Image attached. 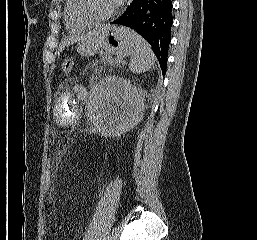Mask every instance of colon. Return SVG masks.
<instances>
[{"label":"colon","mask_w":257,"mask_h":240,"mask_svg":"<svg viewBox=\"0 0 257 240\" xmlns=\"http://www.w3.org/2000/svg\"><path fill=\"white\" fill-rule=\"evenodd\" d=\"M75 65V58L74 57H67L64 59L62 64V70L65 74H70L74 68ZM53 174H54V166L49 159L45 172H44V186L47 191L50 190L53 182Z\"/></svg>","instance_id":"obj_1"}]
</instances>
